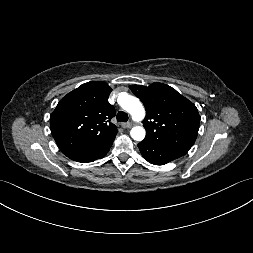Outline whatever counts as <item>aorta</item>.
<instances>
[{"label": "aorta", "instance_id": "aorta-1", "mask_svg": "<svg viewBox=\"0 0 253 253\" xmlns=\"http://www.w3.org/2000/svg\"><path fill=\"white\" fill-rule=\"evenodd\" d=\"M118 102L125 111L131 114L134 121H141L144 118L145 110L138 98L127 93H121ZM130 135L134 140L142 141L146 132L142 126H135L131 129Z\"/></svg>", "mask_w": 253, "mask_h": 253}]
</instances>
